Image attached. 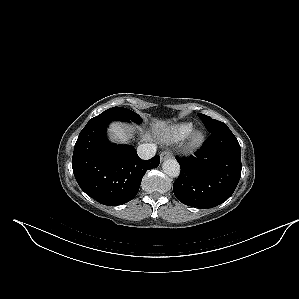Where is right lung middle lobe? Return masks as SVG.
I'll use <instances>...</instances> for the list:
<instances>
[{"instance_id": "dd1d6c3e", "label": "right lung middle lobe", "mask_w": 299, "mask_h": 299, "mask_svg": "<svg viewBox=\"0 0 299 299\" xmlns=\"http://www.w3.org/2000/svg\"><path fill=\"white\" fill-rule=\"evenodd\" d=\"M105 113L114 114L116 116H119L121 119L126 121H132L134 123H140L141 117L136 114L135 112L122 108V107H113L109 108L108 110L104 111Z\"/></svg>"}]
</instances>
